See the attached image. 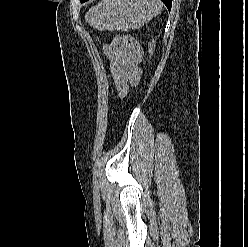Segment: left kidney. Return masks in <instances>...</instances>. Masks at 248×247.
I'll use <instances>...</instances> for the list:
<instances>
[{"label":"left kidney","mask_w":248,"mask_h":247,"mask_svg":"<svg viewBox=\"0 0 248 247\" xmlns=\"http://www.w3.org/2000/svg\"><path fill=\"white\" fill-rule=\"evenodd\" d=\"M155 46H156L155 40L152 39V41H150V43L148 44V51H149L150 55H153L154 50H155Z\"/></svg>","instance_id":"1"}]
</instances>
